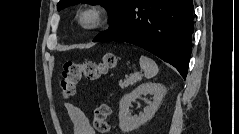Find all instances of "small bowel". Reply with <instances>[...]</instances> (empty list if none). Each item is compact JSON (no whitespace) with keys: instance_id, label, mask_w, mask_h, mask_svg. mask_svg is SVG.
<instances>
[{"instance_id":"small-bowel-1","label":"small bowel","mask_w":239,"mask_h":134,"mask_svg":"<svg viewBox=\"0 0 239 134\" xmlns=\"http://www.w3.org/2000/svg\"><path fill=\"white\" fill-rule=\"evenodd\" d=\"M66 110L72 123L74 134H95L94 128L83 111L73 103L66 104Z\"/></svg>"}]
</instances>
